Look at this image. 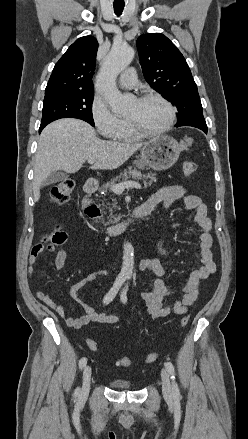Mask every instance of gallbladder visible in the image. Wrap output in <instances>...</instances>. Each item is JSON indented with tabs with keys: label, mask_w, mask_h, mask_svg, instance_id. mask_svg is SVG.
Masks as SVG:
<instances>
[{
	"label": "gallbladder",
	"mask_w": 248,
	"mask_h": 439,
	"mask_svg": "<svg viewBox=\"0 0 248 439\" xmlns=\"http://www.w3.org/2000/svg\"><path fill=\"white\" fill-rule=\"evenodd\" d=\"M68 176L60 171L57 172H53L51 173L47 179L42 183V186H46V185H50V184H54L57 182H60L62 180H65Z\"/></svg>",
	"instance_id": "obj_1"
}]
</instances>
